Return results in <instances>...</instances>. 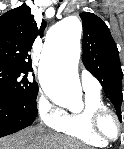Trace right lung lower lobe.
Masks as SVG:
<instances>
[{
    "mask_svg": "<svg viewBox=\"0 0 124 149\" xmlns=\"http://www.w3.org/2000/svg\"><path fill=\"white\" fill-rule=\"evenodd\" d=\"M37 116V108L25 100L0 91V138L30 126Z\"/></svg>",
    "mask_w": 124,
    "mask_h": 149,
    "instance_id": "right-lung-lower-lobe-1",
    "label": "right lung lower lobe"
}]
</instances>
